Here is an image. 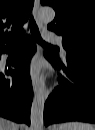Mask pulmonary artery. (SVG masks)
I'll return each instance as SVG.
<instances>
[{
	"label": "pulmonary artery",
	"instance_id": "1",
	"mask_svg": "<svg viewBox=\"0 0 95 130\" xmlns=\"http://www.w3.org/2000/svg\"><path fill=\"white\" fill-rule=\"evenodd\" d=\"M44 38L47 41L58 44V45H61V42H62L61 37L56 35L54 32H50V31L44 32ZM62 53H63V55H66V51L64 50V48H62Z\"/></svg>",
	"mask_w": 95,
	"mask_h": 130
}]
</instances>
